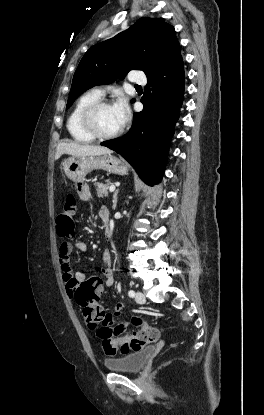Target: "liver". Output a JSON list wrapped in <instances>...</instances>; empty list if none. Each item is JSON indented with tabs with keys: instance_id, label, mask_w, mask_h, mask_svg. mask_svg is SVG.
I'll return each mask as SVG.
<instances>
[{
	"instance_id": "obj_1",
	"label": "liver",
	"mask_w": 264,
	"mask_h": 415,
	"mask_svg": "<svg viewBox=\"0 0 264 415\" xmlns=\"http://www.w3.org/2000/svg\"><path fill=\"white\" fill-rule=\"evenodd\" d=\"M111 153L112 151L104 146L62 142L57 146L55 159H59L63 154L71 156H98Z\"/></svg>"
}]
</instances>
